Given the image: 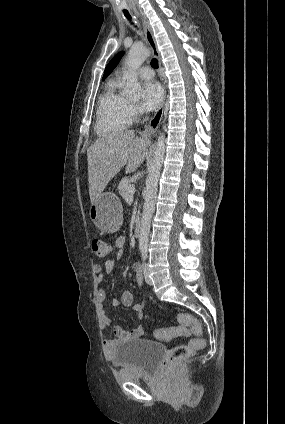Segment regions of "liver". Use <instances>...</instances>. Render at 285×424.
<instances>
[{
  "label": "liver",
  "mask_w": 285,
  "mask_h": 424,
  "mask_svg": "<svg viewBox=\"0 0 285 424\" xmlns=\"http://www.w3.org/2000/svg\"><path fill=\"white\" fill-rule=\"evenodd\" d=\"M150 140L134 131H118L100 137L87 150L88 183L91 203L95 202L113 177L126 166L134 172L144 161Z\"/></svg>",
  "instance_id": "6515ba94"
}]
</instances>
